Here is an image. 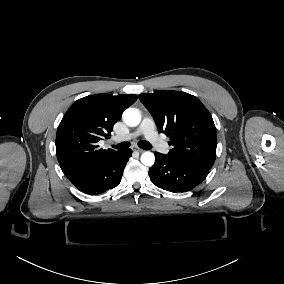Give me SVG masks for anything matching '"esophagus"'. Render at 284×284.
<instances>
[{"label":"esophagus","mask_w":284,"mask_h":284,"mask_svg":"<svg viewBox=\"0 0 284 284\" xmlns=\"http://www.w3.org/2000/svg\"><path fill=\"white\" fill-rule=\"evenodd\" d=\"M132 150H134V151H137V152H139V153H142V152H144V150L143 149H141V148H139L138 146H132Z\"/></svg>","instance_id":"obj_1"}]
</instances>
